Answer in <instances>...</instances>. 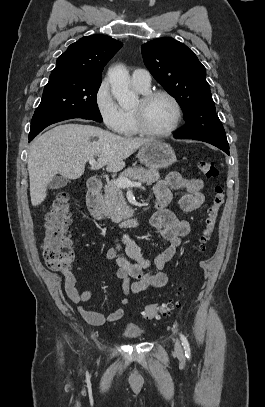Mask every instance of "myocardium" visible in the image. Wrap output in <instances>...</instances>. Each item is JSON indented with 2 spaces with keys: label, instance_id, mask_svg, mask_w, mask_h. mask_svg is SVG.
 <instances>
[{
  "label": "myocardium",
  "instance_id": "f54148a6",
  "mask_svg": "<svg viewBox=\"0 0 265 407\" xmlns=\"http://www.w3.org/2000/svg\"><path fill=\"white\" fill-rule=\"evenodd\" d=\"M165 97L169 99L175 107L176 116L173 124L163 132L149 130L144 122V108L155 98ZM134 127L138 134L149 138H165L172 135L179 127L183 118V109L179 100L170 92L165 90H152L143 94L140 99V106L132 110Z\"/></svg>",
  "mask_w": 265,
  "mask_h": 407
}]
</instances>
